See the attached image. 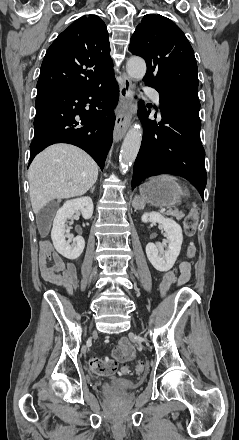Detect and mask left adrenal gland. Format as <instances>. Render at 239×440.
<instances>
[{
  "label": "left adrenal gland",
  "mask_w": 239,
  "mask_h": 440,
  "mask_svg": "<svg viewBox=\"0 0 239 440\" xmlns=\"http://www.w3.org/2000/svg\"><path fill=\"white\" fill-rule=\"evenodd\" d=\"M132 206H134V208H136V210H138V206H137V204H135V202H133Z\"/></svg>",
  "instance_id": "1"
}]
</instances>
